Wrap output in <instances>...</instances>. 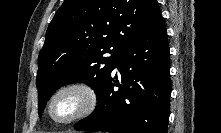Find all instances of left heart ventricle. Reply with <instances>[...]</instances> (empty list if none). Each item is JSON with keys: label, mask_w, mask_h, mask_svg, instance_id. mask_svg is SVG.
I'll list each match as a JSON object with an SVG mask.
<instances>
[{"label": "left heart ventricle", "mask_w": 221, "mask_h": 133, "mask_svg": "<svg viewBox=\"0 0 221 133\" xmlns=\"http://www.w3.org/2000/svg\"><path fill=\"white\" fill-rule=\"evenodd\" d=\"M79 100L73 94H66L57 99L52 108L53 116L64 118L69 116L78 106Z\"/></svg>", "instance_id": "b2bd125f"}]
</instances>
